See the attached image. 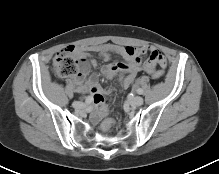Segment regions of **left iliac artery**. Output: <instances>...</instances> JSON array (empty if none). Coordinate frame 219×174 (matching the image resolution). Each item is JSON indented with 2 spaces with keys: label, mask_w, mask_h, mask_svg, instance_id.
Here are the masks:
<instances>
[{
  "label": "left iliac artery",
  "mask_w": 219,
  "mask_h": 174,
  "mask_svg": "<svg viewBox=\"0 0 219 174\" xmlns=\"http://www.w3.org/2000/svg\"><path fill=\"white\" fill-rule=\"evenodd\" d=\"M137 93L138 94H142L143 93V90L141 88L137 89Z\"/></svg>",
  "instance_id": "left-iliac-artery-1"
}]
</instances>
